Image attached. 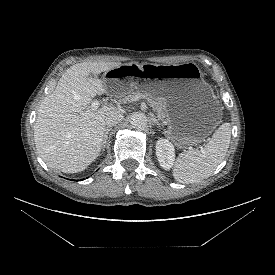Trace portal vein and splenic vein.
<instances>
[{
  "label": "portal vein and splenic vein",
  "mask_w": 275,
  "mask_h": 275,
  "mask_svg": "<svg viewBox=\"0 0 275 275\" xmlns=\"http://www.w3.org/2000/svg\"><path fill=\"white\" fill-rule=\"evenodd\" d=\"M99 106H100L99 101H94V102L91 103V108H92L93 110L98 109ZM189 150H192V148L190 147Z\"/></svg>",
  "instance_id": "obj_1"
}]
</instances>
